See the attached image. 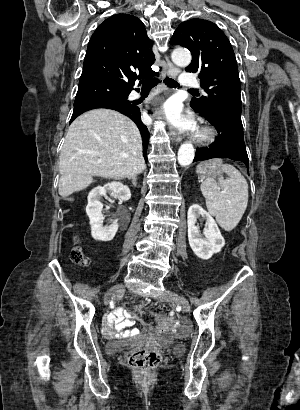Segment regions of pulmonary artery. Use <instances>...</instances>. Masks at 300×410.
Segmentation results:
<instances>
[{"instance_id": "1", "label": "pulmonary artery", "mask_w": 300, "mask_h": 410, "mask_svg": "<svg viewBox=\"0 0 300 410\" xmlns=\"http://www.w3.org/2000/svg\"><path fill=\"white\" fill-rule=\"evenodd\" d=\"M181 85L184 87H198L199 81L198 78L193 74H183L180 79ZM134 99H139L140 96L137 93L132 95Z\"/></svg>"}]
</instances>
